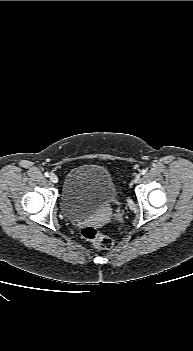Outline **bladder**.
Wrapping results in <instances>:
<instances>
[{"label":"bladder","mask_w":193,"mask_h":351,"mask_svg":"<svg viewBox=\"0 0 193 351\" xmlns=\"http://www.w3.org/2000/svg\"><path fill=\"white\" fill-rule=\"evenodd\" d=\"M118 201V187L108 169L83 164L66 175L60 197L63 215L70 220L95 216Z\"/></svg>","instance_id":"obj_1"}]
</instances>
